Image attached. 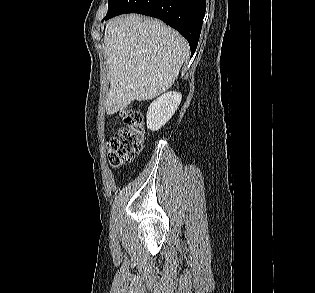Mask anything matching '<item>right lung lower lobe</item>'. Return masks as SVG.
Returning a JSON list of instances; mask_svg holds the SVG:
<instances>
[{
	"label": "right lung lower lobe",
	"mask_w": 315,
	"mask_h": 293,
	"mask_svg": "<svg viewBox=\"0 0 315 293\" xmlns=\"http://www.w3.org/2000/svg\"><path fill=\"white\" fill-rule=\"evenodd\" d=\"M206 11V0H113L104 20L124 13L156 17L180 32L194 54Z\"/></svg>",
	"instance_id": "obj_1"
}]
</instances>
